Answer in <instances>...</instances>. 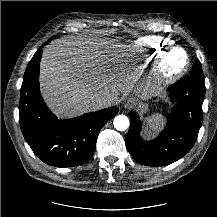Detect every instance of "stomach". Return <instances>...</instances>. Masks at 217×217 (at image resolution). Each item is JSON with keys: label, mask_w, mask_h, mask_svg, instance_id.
<instances>
[{"label": "stomach", "mask_w": 217, "mask_h": 217, "mask_svg": "<svg viewBox=\"0 0 217 217\" xmlns=\"http://www.w3.org/2000/svg\"><path fill=\"white\" fill-rule=\"evenodd\" d=\"M140 98H141L142 100L147 99V97H141V96H140ZM138 107H139L141 110H146V109L148 108V104L139 101V102H138Z\"/></svg>", "instance_id": "1"}]
</instances>
